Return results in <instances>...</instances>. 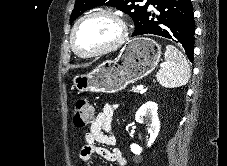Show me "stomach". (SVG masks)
Masks as SVG:
<instances>
[{
	"instance_id": "1",
	"label": "stomach",
	"mask_w": 227,
	"mask_h": 166,
	"mask_svg": "<svg viewBox=\"0 0 227 166\" xmlns=\"http://www.w3.org/2000/svg\"><path fill=\"white\" fill-rule=\"evenodd\" d=\"M161 46L153 39L129 41L114 60H107L87 74L75 75L72 85L78 94L87 91L115 93L149 75L161 57Z\"/></svg>"
}]
</instances>
